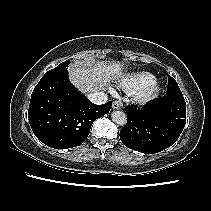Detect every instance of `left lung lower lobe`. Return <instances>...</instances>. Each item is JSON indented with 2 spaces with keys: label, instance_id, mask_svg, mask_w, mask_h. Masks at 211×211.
I'll list each match as a JSON object with an SVG mask.
<instances>
[{
  "label": "left lung lower lobe",
  "instance_id": "1",
  "mask_svg": "<svg viewBox=\"0 0 211 211\" xmlns=\"http://www.w3.org/2000/svg\"><path fill=\"white\" fill-rule=\"evenodd\" d=\"M127 123L120 131L125 146L141 153L153 154L170 147L186 123L183 95L164 96L143 108L126 107Z\"/></svg>",
  "mask_w": 211,
  "mask_h": 211
}]
</instances>
